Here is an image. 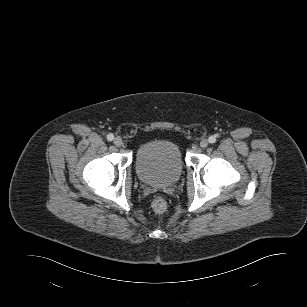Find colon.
I'll return each mask as SVG.
<instances>
[{
    "label": "colon",
    "instance_id": "1",
    "mask_svg": "<svg viewBox=\"0 0 307 307\" xmlns=\"http://www.w3.org/2000/svg\"><path fill=\"white\" fill-rule=\"evenodd\" d=\"M166 201L162 197H156L152 201V209L155 213L161 214L166 210Z\"/></svg>",
    "mask_w": 307,
    "mask_h": 307
}]
</instances>
